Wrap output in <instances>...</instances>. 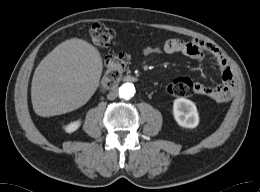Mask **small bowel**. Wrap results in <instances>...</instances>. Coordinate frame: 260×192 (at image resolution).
<instances>
[{"label":"small bowel","instance_id":"obj_1","mask_svg":"<svg viewBox=\"0 0 260 192\" xmlns=\"http://www.w3.org/2000/svg\"><path fill=\"white\" fill-rule=\"evenodd\" d=\"M182 54L193 60L202 61L206 55L212 56L217 62L221 72V84L216 86H205L194 83V93L207 96L217 102H227L231 99L235 82L232 70L223 54L211 43L200 39H169L162 48L148 46L142 50L144 56L153 54Z\"/></svg>","mask_w":260,"mask_h":192}]
</instances>
